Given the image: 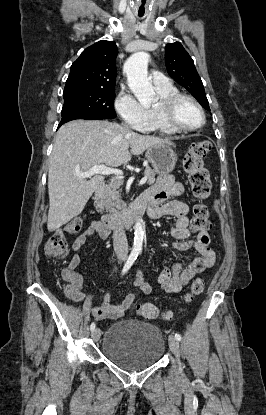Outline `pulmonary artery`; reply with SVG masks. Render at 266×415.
Returning a JSON list of instances; mask_svg holds the SVG:
<instances>
[{"label":"pulmonary artery","mask_w":266,"mask_h":415,"mask_svg":"<svg viewBox=\"0 0 266 415\" xmlns=\"http://www.w3.org/2000/svg\"><path fill=\"white\" fill-rule=\"evenodd\" d=\"M151 77H152V82L154 83V85H165V84L170 83L169 79L158 71L152 72Z\"/></svg>","instance_id":"obj_1"}]
</instances>
